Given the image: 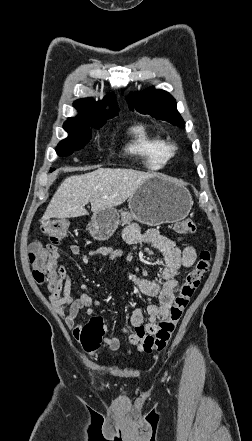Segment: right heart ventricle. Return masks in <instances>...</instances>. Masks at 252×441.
Returning <instances> with one entry per match:
<instances>
[{
    "label": "right heart ventricle",
    "mask_w": 252,
    "mask_h": 441,
    "mask_svg": "<svg viewBox=\"0 0 252 441\" xmlns=\"http://www.w3.org/2000/svg\"><path fill=\"white\" fill-rule=\"evenodd\" d=\"M131 137L126 152L139 159L143 166L151 171L165 167L169 158L165 155V141L154 134L146 125L136 124L129 129Z\"/></svg>",
    "instance_id": "e07e8e85"
}]
</instances>
